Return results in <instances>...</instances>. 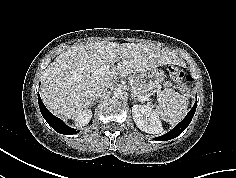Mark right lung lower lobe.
I'll list each match as a JSON object with an SVG mask.
<instances>
[{
    "instance_id": "obj_1",
    "label": "right lung lower lobe",
    "mask_w": 236,
    "mask_h": 178,
    "mask_svg": "<svg viewBox=\"0 0 236 178\" xmlns=\"http://www.w3.org/2000/svg\"><path fill=\"white\" fill-rule=\"evenodd\" d=\"M38 103L42 116L56 132L68 135L78 133V131H76L75 129L66 126L61 119L52 115L43 104L39 94H38Z\"/></svg>"
}]
</instances>
